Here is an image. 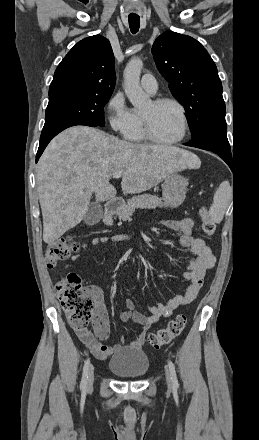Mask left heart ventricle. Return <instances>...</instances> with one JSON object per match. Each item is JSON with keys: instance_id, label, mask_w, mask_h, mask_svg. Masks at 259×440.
<instances>
[{"instance_id": "b2bd125f", "label": "left heart ventricle", "mask_w": 259, "mask_h": 440, "mask_svg": "<svg viewBox=\"0 0 259 440\" xmlns=\"http://www.w3.org/2000/svg\"><path fill=\"white\" fill-rule=\"evenodd\" d=\"M151 121L155 134L163 140H172L180 136L182 122L179 110L172 104L155 106L152 102L143 110Z\"/></svg>"}]
</instances>
